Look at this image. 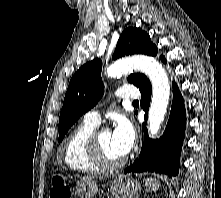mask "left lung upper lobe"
Segmentation results:
<instances>
[{"label": "left lung upper lobe", "mask_w": 221, "mask_h": 198, "mask_svg": "<svg viewBox=\"0 0 221 198\" xmlns=\"http://www.w3.org/2000/svg\"><path fill=\"white\" fill-rule=\"evenodd\" d=\"M133 54L156 56L157 47L142 29L129 27L121 34L112 59ZM163 58L164 56L160 57L161 60ZM101 69L102 61L95 59L83 65L71 78L59 117V142L79 117L94 107L102 98L104 86ZM127 80L138 88L149 81L140 73L130 75Z\"/></svg>", "instance_id": "obj_1"}]
</instances>
